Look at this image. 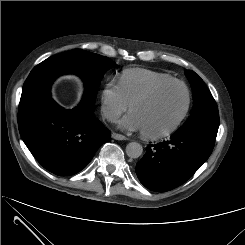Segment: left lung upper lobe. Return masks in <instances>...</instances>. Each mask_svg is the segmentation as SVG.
<instances>
[{
  "label": "left lung upper lobe",
  "instance_id": "1",
  "mask_svg": "<svg viewBox=\"0 0 245 245\" xmlns=\"http://www.w3.org/2000/svg\"><path fill=\"white\" fill-rule=\"evenodd\" d=\"M185 74L192 85L194 106L187 121L176 132L202 131L216 136L219 112L214 98L195 72L186 70Z\"/></svg>",
  "mask_w": 245,
  "mask_h": 245
}]
</instances>
